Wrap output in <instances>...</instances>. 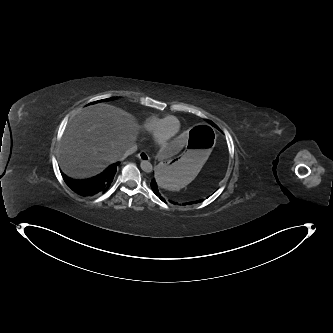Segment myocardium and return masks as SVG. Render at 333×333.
I'll return each mask as SVG.
<instances>
[{"label":"myocardium","instance_id":"myocardium-1","mask_svg":"<svg viewBox=\"0 0 333 333\" xmlns=\"http://www.w3.org/2000/svg\"><path fill=\"white\" fill-rule=\"evenodd\" d=\"M176 118L177 117H175L173 115H170V116L166 117L162 121V123H161L159 129L157 130V132L154 134L155 143L162 149L168 148L169 146H171L175 142V140L178 136L179 128L177 126V131L171 138L166 139V138L163 137V130H164V126H165L166 122L170 119H176Z\"/></svg>","mask_w":333,"mask_h":333}]
</instances>
